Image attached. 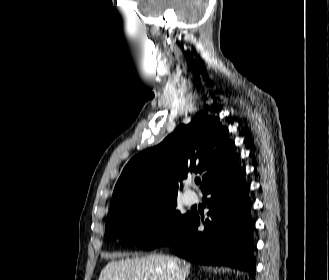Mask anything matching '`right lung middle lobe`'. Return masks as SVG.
Masks as SVG:
<instances>
[{
  "label": "right lung middle lobe",
  "instance_id": "right-lung-middle-lobe-1",
  "mask_svg": "<svg viewBox=\"0 0 329 280\" xmlns=\"http://www.w3.org/2000/svg\"><path fill=\"white\" fill-rule=\"evenodd\" d=\"M177 197L151 196L137 199L109 212L106 235L144 249L166 245L189 222L192 213L181 214Z\"/></svg>",
  "mask_w": 329,
  "mask_h": 280
}]
</instances>
